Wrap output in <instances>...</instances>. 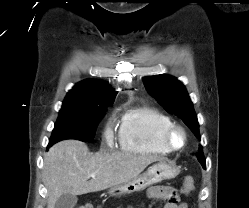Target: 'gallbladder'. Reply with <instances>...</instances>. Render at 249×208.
Instances as JSON below:
<instances>
[{
    "label": "gallbladder",
    "instance_id": "1",
    "mask_svg": "<svg viewBox=\"0 0 249 208\" xmlns=\"http://www.w3.org/2000/svg\"><path fill=\"white\" fill-rule=\"evenodd\" d=\"M77 203V197L70 193L63 194L55 203V208H74Z\"/></svg>",
    "mask_w": 249,
    "mask_h": 208
}]
</instances>
